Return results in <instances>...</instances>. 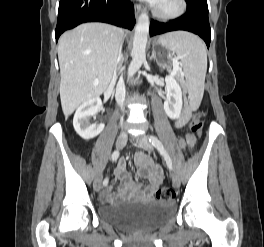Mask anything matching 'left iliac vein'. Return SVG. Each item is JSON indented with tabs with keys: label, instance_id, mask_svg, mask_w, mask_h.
I'll return each mask as SVG.
<instances>
[{
	"label": "left iliac vein",
	"instance_id": "4c4485c4",
	"mask_svg": "<svg viewBox=\"0 0 264 247\" xmlns=\"http://www.w3.org/2000/svg\"><path fill=\"white\" fill-rule=\"evenodd\" d=\"M136 143L143 148L146 151H152L153 146L151 142L149 141L148 137L145 135H141L137 140ZM172 184L175 188H178L180 186V180L176 173L171 174Z\"/></svg>",
	"mask_w": 264,
	"mask_h": 247
}]
</instances>
